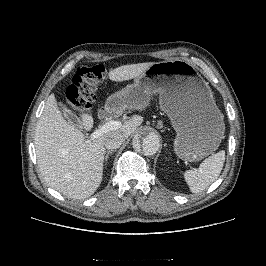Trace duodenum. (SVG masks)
<instances>
[{"mask_svg":"<svg viewBox=\"0 0 266 266\" xmlns=\"http://www.w3.org/2000/svg\"><path fill=\"white\" fill-rule=\"evenodd\" d=\"M116 114L117 113H116L115 108H113V107H107V108L103 109L100 112V117H102V118H110V117L115 116Z\"/></svg>","mask_w":266,"mask_h":266,"instance_id":"410a0bca","label":"duodenum"}]
</instances>
